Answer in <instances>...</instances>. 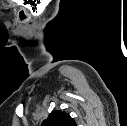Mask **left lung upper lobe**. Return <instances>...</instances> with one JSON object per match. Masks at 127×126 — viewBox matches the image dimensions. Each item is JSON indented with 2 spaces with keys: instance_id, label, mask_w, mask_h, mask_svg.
Segmentation results:
<instances>
[{
  "instance_id": "left-lung-upper-lobe-1",
  "label": "left lung upper lobe",
  "mask_w": 127,
  "mask_h": 126,
  "mask_svg": "<svg viewBox=\"0 0 127 126\" xmlns=\"http://www.w3.org/2000/svg\"><path fill=\"white\" fill-rule=\"evenodd\" d=\"M41 126H76V123L68 113L55 110L49 114Z\"/></svg>"
}]
</instances>
